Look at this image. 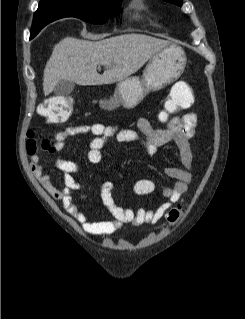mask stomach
Listing matches in <instances>:
<instances>
[{
	"label": "stomach",
	"mask_w": 245,
	"mask_h": 319,
	"mask_svg": "<svg viewBox=\"0 0 245 319\" xmlns=\"http://www.w3.org/2000/svg\"><path fill=\"white\" fill-rule=\"evenodd\" d=\"M186 63V54L180 46L164 47L150 58L141 77L132 76L119 81L114 96L109 100H99V107L106 111L119 106L126 109L136 107L148 93L159 91L178 79Z\"/></svg>",
	"instance_id": "stomach-1"
}]
</instances>
